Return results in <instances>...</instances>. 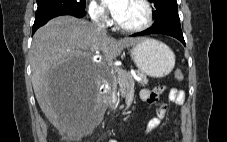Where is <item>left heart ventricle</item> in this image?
Returning a JSON list of instances; mask_svg holds the SVG:
<instances>
[{"label": "left heart ventricle", "instance_id": "left-heart-ventricle-1", "mask_svg": "<svg viewBox=\"0 0 227 142\" xmlns=\"http://www.w3.org/2000/svg\"><path fill=\"white\" fill-rule=\"evenodd\" d=\"M145 19V9L139 0H127L124 10L116 20L125 26L141 24Z\"/></svg>", "mask_w": 227, "mask_h": 142}]
</instances>
